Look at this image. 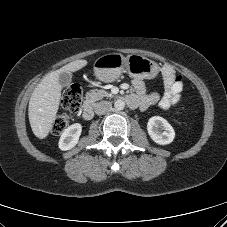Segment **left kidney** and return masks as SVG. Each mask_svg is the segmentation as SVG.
Returning a JSON list of instances; mask_svg holds the SVG:
<instances>
[{
	"instance_id": "1",
	"label": "left kidney",
	"mask_w": 227,
	"mask_h": 227,
	"mask_svg": "<svg viewBox=\"0 0 227 227\" xmlns=\"http://www.w3.org/2000/svg\"><path fill=\"white\" fill-rule=\"evenodd\" d=\"M147 131L151 139L159 145L170 144L175 137L173 127L160 116H153L148 120Z\"/></svg>"
}]
</instances>
